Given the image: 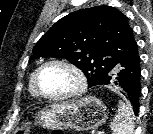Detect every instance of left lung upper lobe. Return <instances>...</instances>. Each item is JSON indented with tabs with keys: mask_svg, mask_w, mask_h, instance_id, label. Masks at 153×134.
<instances>
[{
	"mask_svg": "<svg viewBox=\"0 0 153 134\" xmlns=\"http://www.w3.org/2000/svg\"><path fill=\"white\" fill-rule=\"evenodd\" d=\"M137 51L127 17L111 6L78 10L57 21L37 42L34 56L66 58L80 68L89 87L98 85Z\"/></svg>",
	"mask_w": 153,
	"mask_h": 134,
	"instance_id": "5c2ea615",
	"label": "left lung upper lobe"
}]
</instances>
